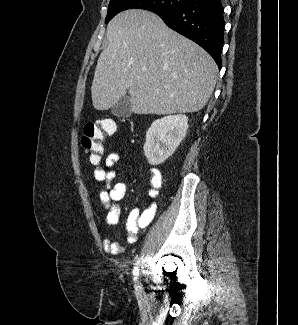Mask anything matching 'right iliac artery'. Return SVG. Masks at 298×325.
Wrapping results in <instances>:
<instances>
[{
  "label": "right iliac artery",
  "instance_id": "obj_1",
  "mask_svg": "<svg viewBox=\"0 0 298 325\" xmlns=\"http://www.w3.org/2000/svg\"><path fill=\"white\" fill-rule=\"evenodd\" d=\"M138 277H139V262L136 263V266L134 267L133 270V280L135 283L137 282Z\"/></svg>",
  "mask_w": 298,
  "mask_h": 325
}]
</instances>
